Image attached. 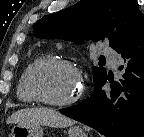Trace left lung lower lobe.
Listing matches in <instances>:
<instances>
[{
	"label": "left lung lower lobe",
	"instance_id": "0a47b994",
	"mask_svg": "<svg viewBox=\"0 0 144 137\" xmlns=\"http://www.w3.org/2000/svg\"><path fill=\"white\" fill-rule=\"evenodd\" d=\"M117 52L123 75L120 82L109 77L95 85L92 95L73 107L59 111L96 129L107 137H142L144 134V22ZM109 80L110 91L102 90Z\"/></svg>",
	"mask_w": 144,
	"mask_h": 137
}]
</instances>
